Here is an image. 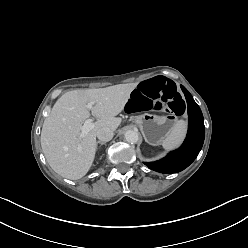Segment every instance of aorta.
I'll list each match as a JSON object with an SVG mask.
<instances>
[{"instance_id":"1","label":"aorta","mask_w":248,"mask_h":248,"mask_svg":"<svg viewBox=\"0 0 248 248\" xmlns=\"http://www.w3.org/2000/svg\"><path fill=\"white\" fill-rule=\"evenodd\" d=\"M124 138L128 143L134 144L138 142L139 135L138 132L134 130H129L125 133Z\"/></svg>"}]
</instances>
